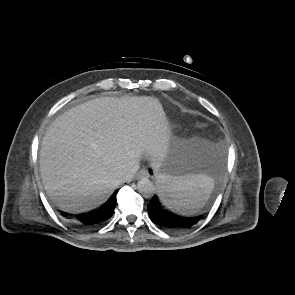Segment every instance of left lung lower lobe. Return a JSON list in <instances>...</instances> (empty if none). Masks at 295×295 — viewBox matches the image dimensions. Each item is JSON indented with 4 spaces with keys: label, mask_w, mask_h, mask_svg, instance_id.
<instances>
[{
    "label": "left lung lower lobe",
    "mask_w": 295,
    "mask_h": 295,
    "mask_svg": "<svg viewBox=\"0 0 295 295\" xmlns=\"http://www.w3.org/2000/svg\"><path fill=\"white\" fill-rule=\"evenodd\" d=\"M207 160L209 162V166L214 167L215 154L212 151L208 152ZM148 212L153 223L170 231L186 230L200 220V217H183L166 210L156 195L148 204Z\"/></svg>",
    "instance_id": "0a47b994"
}]
</instances>
